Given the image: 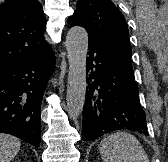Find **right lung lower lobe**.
Instances as JSON below:
<instances>
[{
  "instance_id": "98d812e1",
  "label": "right lung lower lobe",
  "mask_w": 168,
  "mask_h": 162,
  "mask_svg": "<svg viewBox=\"0 0 168 162\" xmlns=\"http://www.w3.org/2000/svg\"><path fill=\"white\" fill-rule=\"evenodd\" d=\"M54 67L51 50L41 58L18 63L0 73V133L39 147L41 101Z\"/></svg>"
}]
</instances>
